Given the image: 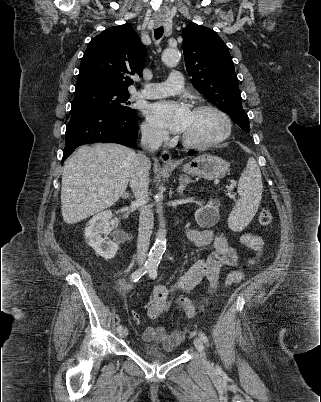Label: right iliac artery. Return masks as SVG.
Here are the masks:
<instances>
[{"label":"right iliac artery","mask_w":321,"mask_h":402,"mask_svg":"<svg viewBox=\"0 0 321 402\" xmlns=\"http://www.w3.org/2000/svg\"><path fill=\"white\" fill-rule=\"evenodd\" d=\"M151 267H152V265H150V264H145L143 267L139 268L138 270H136L135 272H133V273L131 274V277H130L131 280L134 281V282L138 281L145 273H147V271L150 270ZM122 329H123V328H122L121 325H119V326L117 327V331H118V332H120Z\"/></svg>","instance_id":"1"}]
</instances>
